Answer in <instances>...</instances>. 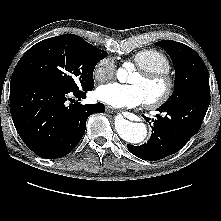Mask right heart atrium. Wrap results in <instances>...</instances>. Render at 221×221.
<instances>
[{"mask_svg":"<svg viewBox=\"0 0 221 221\" xmlns=\"http://www.w3.org/2000/svg\"><path fill=\"white\" fill-rule=\"evenodd\" d=\"M115 73L116 67L114 61L109 57H105L97 62L93 69L92 75L97 82H104L113 78Z\"/></svg>","mask_w":221,"mask_h":221,"instance_id":"right-heart-atrium-1","label":"right heart atrium"}]
</instances>
